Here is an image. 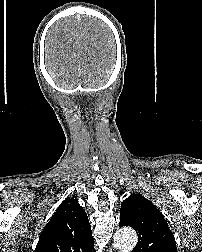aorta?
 Masks as SVG:
<instances>
[{
	"label": "aorta",
	"mask_w": 202,
	"mask_h": 252,
	"mask_svg": "<svg viewBox=\"0 0 202 252\" xmlns=\"http://www.w3.org/2000/svg\"><path fill=\"white\" fill-rule=\"evenodd\" d=\"M138 237L130 228L119 229L114 236V245L119 252H131L136 246Z\"/></svg>",
	"instance_id": "aorta-1"
}]
</instances>
